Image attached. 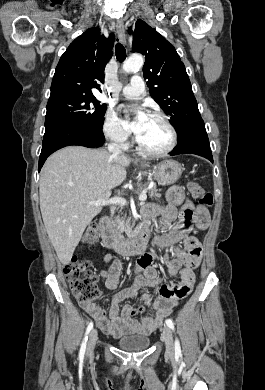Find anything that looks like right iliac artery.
<instances>
[{"mask_svg": "<svg viewBox=\"0 0 265 390\" xmlns=\"http://www.w3.org/2000/svg\"><path fill=\"white\" fill-rule=\"evenodd\" d=\"M92 328H93V322L91 321L88 324V326H87L85 337H84V339L82 341V344H81V348H80V352H79V358L80 359L84 358V354H85V350H86V343H87V340H88V334L92 330Z\"/></svg>", "mask_w": 265, "mask_h": 390, "instance_id": "82829eb1", "label": "right iliac artery"}]
</instances>
